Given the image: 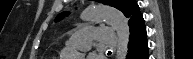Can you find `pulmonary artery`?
<instances>
[{
    "label": "pulmonary artery",
    "mask_w": 193,
    "mask_h": 59,
    "mask_svg": "<svg viewBox=\"0 0 193 59\" xmlns=\"http://www.w3.org/2000/svg\"><path fill=\"white\" fill-rule=\"evenodd\" d=\"M95 40L110 46H114L117 43V37L110 29L89 26H84L76 31L70 32L66 42L76 48H89Z\"/></svg>",
    "instance_id": "1"
}]
</instances>
